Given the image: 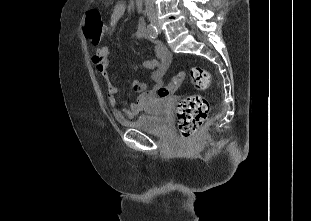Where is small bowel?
Here are the masks:
<instances>
[{
	"instance_id": "small-bowel-1",
	"label": "small bowel",
	"mask_w": 311,
	"mask_h": 221,
	"mask_svg": "<svg viewBox=\"0 0 311 221\" xmlns=\"http://www.w3.org/2000/svg\"><path fill=\"white\" fill-rule=\"evenodd\" d=\"M126 10V4L123 1H118L114 4L107 32H112L117 26L118 22L123 17ZM139 20L136 23L135 37L137 39H143L147 37L145 27L139 25ZM156 59L152 61H146L143 63V67L151 70V80L154 85L151 89H148L147 84L140 80H133L132 87L134 90L140 92V95L128 108L120 106L117 98L118 87L112 80V72L109 68L110 50L107 46H101L96 49L93 56V62L96 65L97 71L105 81L107 98L109 106L111 107L113 114L117 120L124 118H132L139 114L146 103L156 96L158 90L163 87V77L171 64L173 57L169 50L160 42H154L153 44Z\"/></svg>"
}]
</instances>
